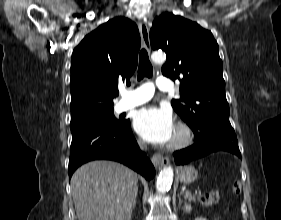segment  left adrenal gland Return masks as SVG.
<instances>
[{
	"mask_svg": "<svg viewBox=\"0 0 281 220\" xmlns=\"http://www.w3.org/2000/svg\"><path fill=\"white\" fill-rule=\"evenodd\" d=\"M181 195H182V193L180 194V195H178V198H179V206H181V204L182 203H184V207H183V210L184 211H187V202L186 201H183L182 199H181Z\"/></svg>",
	"mask_w": 281,
	"mask_h": 220,
	"instance_id": "obj_1",
	"label": "left adrenal gland"
}]
</instances>
